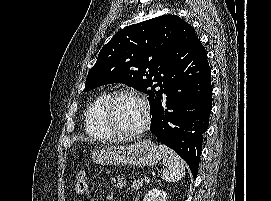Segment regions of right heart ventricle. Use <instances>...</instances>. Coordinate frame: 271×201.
Returning <instances> with one entry per match:
<instances>
[{
  "label": "right heart ventricle",
  "mask_w": 271,
  "mask_h": 201,
  "mask_svg": "<svg viewBox=\"0 0 271 201\" xmlns=\"http://www.w3.org/2000/svg\"><path fill=\"white\" fill-rule=\"evenodd\" d=\"M108 97L107 92L100 93L85 111V130L91 137L108 140L117 136L103 118V107Z\"/></svg>",
  "instance_id": "obj_1"
}]
</instances>
